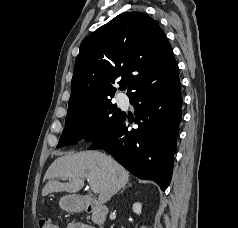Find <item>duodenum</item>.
I'll return each instance as SVG.
<instances>
[{
    "label": "duodenum",
    "instance_id": "obj_1",
    "mask_svg": "<svg viewBox=\"0 0 238 228\" xmlns=\"http://www.w3.org/2000/svg\"><path fill=\"white\" fill-rule=\"evenodd\" d=\"M73 207L78 210H84L92 215L93 222L102 228L108 209L105 205L90 197H79Z\"/></svg>",
    "mask_w": 238,
    "mask_h": 228
}]
</instances>
